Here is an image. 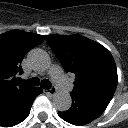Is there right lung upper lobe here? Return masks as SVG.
I'll use <instances>...</instances> for the list:
<instances>
[{
  "mask_svg": "<svg viewBox=\"0 0 128 128\" xmlns=\"http://www.w3.org/2000/svg\"><path fill=\"white\" fill-rule=\"evenodd\" d=\"M44 39L45 36L21 30L0 35V110L16 96L32 88L18 82L16 75L23 73L20 63L25 54Z\"/></svg>",
  "mask_w": 128,
  "mask_h": 128,
  "instance_id": "obj_1",
  "label": "right lung upper lobe"
}]
</instances>
